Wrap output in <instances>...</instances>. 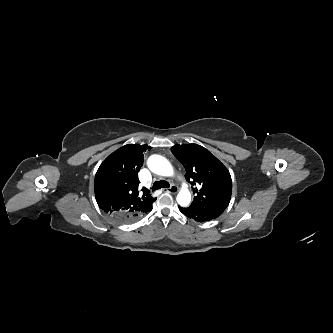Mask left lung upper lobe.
I'll use <instances>...</instances> for the list:
<instances>
[{
	"label": "left lung upper lobe",
	"mask_w": 333,
	"mask_h": 333,
	"mask_svg": "<svg viewBox=\"0 0 333 333\" xmlns=\"http://www.w3.org/2000/svg\"><path fill=\"white\" fill-rule=\"evenodd\" d=\"M174 156L186 170L185 178L195 194L191 205L225 210L230 202L232 180L227 168L207 149L197 144L175 145Z\"/></svg>",
	"instance_id": "left-lung-upper-lobe-1"
}]
</instances>
